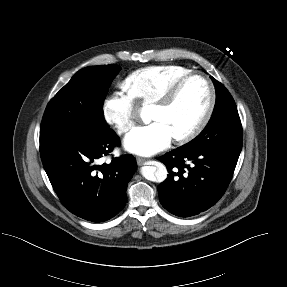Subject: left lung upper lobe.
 <instances>
[{
    "label": "left lung upper lobe",
    "mask_w": 287,
    "mask_h": 287,
    "mask_svg": "<svg viewBox=\"0 0 287 287\" xmlns=\"http://www.w3.org/2000/svg\"><path fill=\"white\" fill-rule=\"evenodd\" d=\"M216 103L205 129L187 147L219 148L240 154L242 149V125L236 104L223 84L213 77Z\"/></svg>",
    "instance_id": "1"
}]
</instances>
